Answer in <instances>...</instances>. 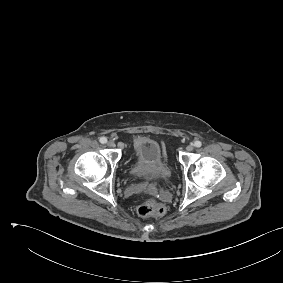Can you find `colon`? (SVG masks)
<instances>
[{
	"label": "colon",
	"instance_id": "5ec220e1",
	"mask_svg": "<svg viewBox=\"0 0 283 283\" xmlns=\"http://www.w3.org/2000/svg\"><path fill=\"white\" fill-rule=\"evenodd\" d=\"M137 213L141 217H159L166 213V207L150 198H145L139 205Z\"/></svg>",
	"mask_w": 283,
	"mask_h": 283
}]
</instances>
